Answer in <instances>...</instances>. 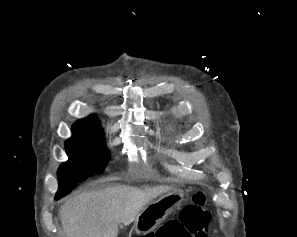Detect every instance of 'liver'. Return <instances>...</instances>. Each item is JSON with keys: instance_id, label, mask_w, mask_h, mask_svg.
<instances>
[{"instance_id": "1", "label": "liver", "mask_w": 297, "mask_h": 237, "mask_svg": "<svg viewBox=\"0 0 297 237\" xmlns=\"http://www.w3.org/2000/svg\"><path fill=\"white\" fill-rule=\"evenodd\" d=\"M169 190L120 185L84 192L61 206V222L67 237H117L118 224H131L149 201Z\"/></svg>"}]
</instances>
